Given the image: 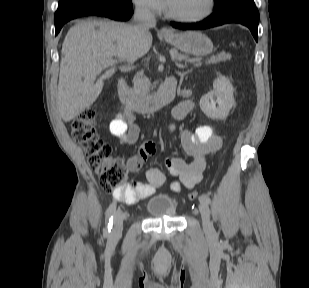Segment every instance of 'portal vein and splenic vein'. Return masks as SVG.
<instances>
[{"instance_id":"obj_1","label":"portal vein and splenic vein","mask_w":309,"mask_h":288,"mask_svg":"<svg viewBox=\"0 0 309 288\" xmlns=\"http://www.w3.org/2000/svg\"><path fill=\"white\" fill-rule=\"evenodd\" d=\"M202 60V58H199V59H197L196 61V63H195V66H199V65H201V63H200V61ZM117 63V60L116 59H108V60H106L105 62H104V65H106V66H113L114 64H116Z\"/></svg>"}]
</instances>
